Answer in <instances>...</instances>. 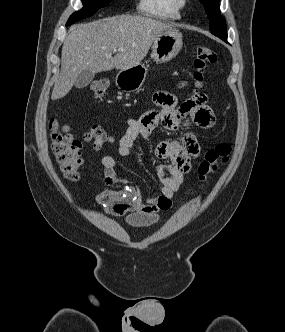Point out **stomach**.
Returning a JSON list of instances; mask_svg holds the SVG:
<instances>
[{
  "mask_svg": "<svg viewBox=\"0 0 285 332\" xmlns=\"http://www.w3.org/2000/svg\"><path fill=\"white\" fill-rule=\"evenodd\" d=\"M183 45L182 35L172 28L156 38L152 46L151 57L157 63H165L173 59ZM147 75V68L138 64L132 68L121 70L116 76V85L119 89L134 92L141 88Z\"/></svg>",
  "mask_w": 285,
  "mask_h": 332,
  "instance_id": "stomach-1",
  "label": "stomach"
}]
</instances>
